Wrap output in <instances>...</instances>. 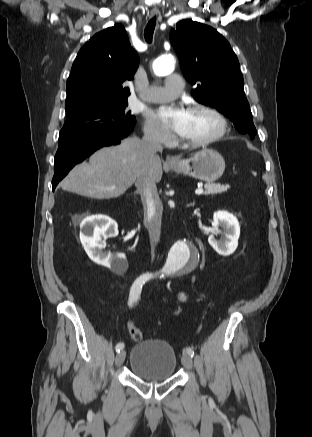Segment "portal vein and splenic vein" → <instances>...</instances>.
I'll return each instance as SVG.
<instances>
[{
  "label": "portal vein and splenic vein",
  "mask_w": 312,
  "mask_h": 437,
  "mask_svg": "<svg viewBox=\"0 0 312 437\" xmlns=\"http://www.w3.org/2000/svg\"><path fill=\"white\" fill-rule=\"evenodd\" d=\"M204 192V190L202 188H199L195 191V194L200 195Z\"/></svg>",
  "instance_id": "18ae733b"
}]
</instances>
